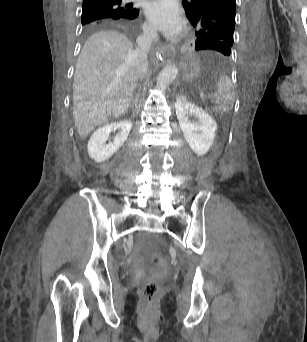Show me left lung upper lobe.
Returning <instances> with one entry per match:
<instances>
[{
	"label": "left lung upper lobe",
	"instance_id": "1",
	"mask_svg": "<svg viewBox=\"0 0 307 342\" xmlns=\"http://www.w3.org/2000/svg\"><path fill=\"white\" fill-rule=\"evenodd\" d=\"M188 19L197 28L195 50H215L230 56L235 29V0L183 1Z\"/></svg>",
	"mask_w": 307,
	"mask_h": 342
}]
</instances>
